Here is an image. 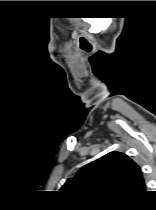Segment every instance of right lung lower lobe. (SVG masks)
I'll use <instances>...</instances> for the list:
<instances>
[{"label":"right lung lower lobe","mask_w":156,"mask_h":210,"mask_svg":"<svg viewBox=\"0 0 156 210\" xmlns=\"http://www.w3.org/2000/svg\"><path fill=\"white\" fill-rule=\"evenodd\" d=\"M141 196H142V195H141ZM141 196H140V197H141ZM140 197H138V198H135V199H133L132 201H134V200H137V199H139Z\"/></svg>","instance_id":"right-lung-lower-lobe-1"}]
</instances>
